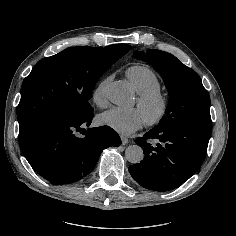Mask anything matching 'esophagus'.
I'll return each instance as SVG.
<instances>
[{"label":"esophagus","mask_w":236,"mask_h":236,"mask_svg":"<svg viewBox=\"0 0 236 236\" xmlns=\"http://www.w3.org/2000/svg\"><path fill=\"white\" fill-rule=\"evenodd\" d=\"M121 141L123 144H127L128 143V138H126L125 136L121 135Z\"/></svg>","instance_id":"esophagus-1"}]
</instances>
